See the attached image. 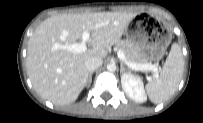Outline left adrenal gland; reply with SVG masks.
<instances>
[{
  "instance_id": "a2214340",
  "label": "left adrenal gland",
  "mask_w": 203,
  "mask_h": 123,
  "mask_svg": "<svg viewBox=\"0 0 203 123\" xmlns=\"http://www.w3.org/2000/svg\"><path fill=\"white\" fill-rule=\"evenodd\" d=\"M126 70V67L124 66L123 62L120 61V73H123V71Z\"/></svg>"
}]
</instances>
